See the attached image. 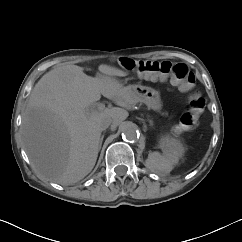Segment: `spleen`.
<instances>
[{"mask_svg": "<svg viewBox=\"0 0 242 242\" xmlns=\"http://www.w3.org/2000/svg\"><path fill=\"white\" fill-rule=\"evenodd\" d=\"M181 154L176 151H166L164 154L154 152L149 155L148 165L153 170L162 173H169L173 169V165L178 162Z\"/></svg>", "mask_w": 242, "mask_h": 242, "instance_id": "obj_1", "label": "spleen"}]
</instances>
